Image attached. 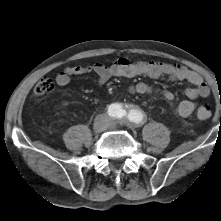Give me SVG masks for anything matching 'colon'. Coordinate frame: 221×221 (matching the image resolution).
<instances>
[{"instance_id": "5ec220e1", "label": "colon", "mask_w": 221, "mask_h": 221, "mask_svg": "<svg viewBox=\"0 0 221 221\" xmlns=\"http://www.w3.org/2000/svg\"><path fill=\"white\" fill-rule=\"evenodd\" d=\"M54 89V82L50 78H42L34 88V96L41 97L50 93ZM196 115L199 120H208L211 117V109L207 105H199L196 110Z\"/></svg>"}]
</instances>
